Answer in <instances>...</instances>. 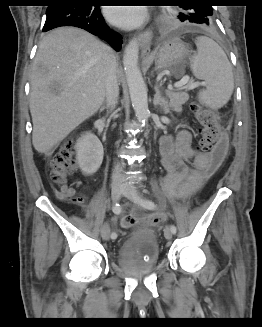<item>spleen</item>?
<instances>
[{
    "mask_svg": "<svg viewBox=\"0 0 262 327\" xmlns=\"http://www.w3.org/2000/svg\"><path fill=\"white\" fill-rule=\"evenodd\" d=\"M197 53L191 60L195 77L206 82V89L199 92V100L212 109L223 107L234 89L233 72L221 47L212 39L197 38Z\"/></svg>",
    "mask_w": 262,
    "mask_h": 327,
    "instance_id": "spleen-1",
    "label": "spleen"
}]
</instances>
